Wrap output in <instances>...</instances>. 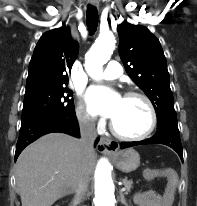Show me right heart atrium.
<instances>
[{"label": "right heart atrium", "mask_w": 197, "mask_h": 206, "mask_svg": "<svg viewBox=\"0 0 197 206\" xmlns=\"http://www.w3.org/2000/svg\"><path fill=\"white\" fill-rule=\"evenodd\" d=\"M77 117L84 128L93 129L96 126L95 117L83 104H79L77 108Z\"/></svg>", "instance_id": "right-heart-atrium-1"}]
</instances>
